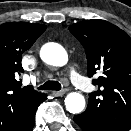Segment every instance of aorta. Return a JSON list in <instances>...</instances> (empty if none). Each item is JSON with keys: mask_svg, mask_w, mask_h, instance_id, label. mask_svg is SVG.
<instances>
[{"mask_svg": "<svg viewBox=\"0 0 131 131\" xmlns=\"http://www.w3.org/2000/svg\"><path fill=\"white\" fill-rule=\"evenodd\" d=\"M40 56L45 63L53 66H64L68 61L67 52L56 43L45 44L41 48ZM65 106L72 114L80 113L85 107V99L80 93H70L65 98Z\"/></svg>", "mask_w": 131, "mask_h": 131, "instance_id": "aorta-1", "label": "aorta"}]
</instances>
